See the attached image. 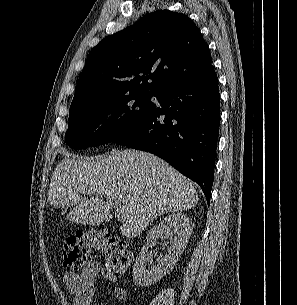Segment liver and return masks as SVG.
Listing matches in <instances>:
<instances>
[{
	"label": "liver",
	"instance_id": "6515ba94",
	"mask_svg": "<svg viewBox=\"0 0 297 305\" xmlns=\"http://www.w3.org/2000/svg\"><path fill=\"white\" fill-rule=\"evenodd\" d=\"M48 201L52 212L74 206L66 219L83 225H100L111 206L121 204V232L136 237L157 217L194 207L198 195L193 183L164 160L126 149L77 159L66 154L52 174Z\"/></svg>",
	"mask_w": 297,
	"mask_h": 305
}]
</instances>
